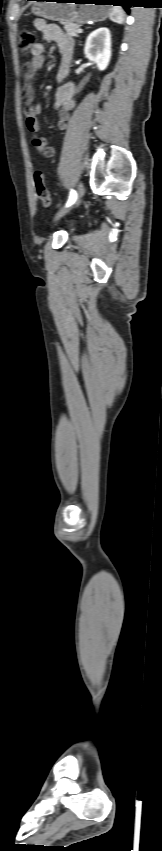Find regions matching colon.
<instances>
[{
	"instance_id": "5ec220e1",
	"label": "colon",
	"mask_w": 162,
	"mask_h": 851,
	"mask_svg": "<svg viewBox=\"0 0 162 851\" xmlns=\"http://www.w3.org/2000/svg\"><path fill=\"white\" fill-rule=\"evenodd\" d=\"M36 39L37 36L34 30L31 28L21 29L19 34V46L21 51L24 54L30 53L33 46L36 44ZM33 180L38 198L42 201L44 206L48 207L51 203V196L45 186V179L41 170H36L34 172Z\"/></svg>"
}]
</instances>
